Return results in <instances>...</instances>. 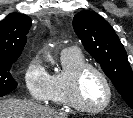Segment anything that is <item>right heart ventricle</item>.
Instances as JSON below:
<instances>
[{"label":"right heart ventricle","instance_id":"e07e8e85","mask_svg":"<svg viewBox=\"0 0 133 118\" xmlns=\"http://www.w3.org/2000/svg\"><path fill=\"white\" fill-rule=\"evenodd\" d=\"M63 71L51 76L50 100L60 106L69 107L67 99V81L70 73L84 63L83 54L80 50H67L61 53Z\"/></svg>","mask_w":133,"mask_h":118}]
</instances>
